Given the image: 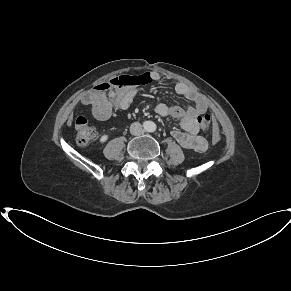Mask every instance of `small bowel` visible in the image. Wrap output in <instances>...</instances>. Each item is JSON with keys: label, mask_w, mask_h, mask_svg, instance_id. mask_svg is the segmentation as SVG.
<instances>
[{"label": "small bowel", "mask_w": 291, "mask_h": 291, "mask_svg": "<svg viewBox=\"0 0 291 291\" xmlns=\"http://www.w3.org/2000/svg\"><path fill=\"white\" fill-rule=\"evenodd\" d=\"M160 77L158 72H149L140 76L139 79L144 82L157 81ZM175 91L187 100L192 101L194 105L183 108L158 103L155 107V112L160 116H170L179 120L183 131L174 130L171 134L182 147L204 152L207 150L208 144L206 139L199 135L197 117L207 111L208 104L191 87L183 82L176 83ZM139 92L140 89L136 87L119 88L111 92L108 97L105 96L100 99H97L94 93L90 92L83 98V103L91 106L92 114L96 119L104 120L110 116L112 108L120 110L128 109Z\"/></svg>", "instance_id": "1"}]
</instances>
